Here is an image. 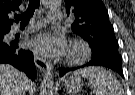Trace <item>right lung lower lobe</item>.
Masks as SVG:
<instances>
[{
    "label": "right lung lower lobe",
    "mask_w": 135,
    "mask_h": 95,
    "mask_svg": "<svg viewBox=\"0 0 135 95\" xmlns=\"http://www.w3.org/2000/svg\"><path fill=\"white\" fill-rule=\"evenodd\" d=\"M8 32L9 30H5L3 36L0 37V63L11 64L34 80L37 72L32 52L19 48V40H4L3 37Z\"/></svg>",
    "instance_id": "obj_1"
}]
</instances>
